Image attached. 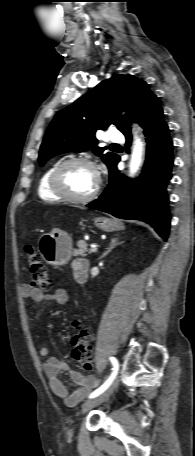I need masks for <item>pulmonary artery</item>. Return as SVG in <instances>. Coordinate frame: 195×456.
Segmentation results:
<instances>
[{"label":"pulmonary artery","instance_id":"1","mask_svg":"<svg viewBox=\"0 0 195 456\" xmlns=\"http://www.w3.org/2000/svg\"><path fill=\"white\" fill-rule=\"evenodd\" d=\"M107 139L111 142H122L124 140V137L120 131L111 129L108 132Z\"/></svg>","mask_w":195,"mask_h":456}]
</instances>
